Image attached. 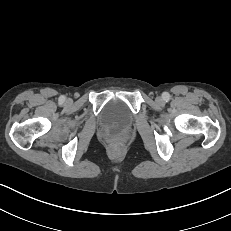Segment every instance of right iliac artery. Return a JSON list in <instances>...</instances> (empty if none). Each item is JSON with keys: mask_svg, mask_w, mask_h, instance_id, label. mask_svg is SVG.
<instances>
[{"mask_svg": "<svg viewBox=\"0 0 231 231\" xmlns=\"http://www.w3.org/2000/svg\"><path fill=\"white\" fill-rule=\"evenodd\" d=\"M65 100H66L65 96H60V98H59L60 103H64Z\"/></svg>", "mask_w": 231, "mask_h": 231, "instance_id": "obj_1", "label": "right iliac artery"}]
</instances>
